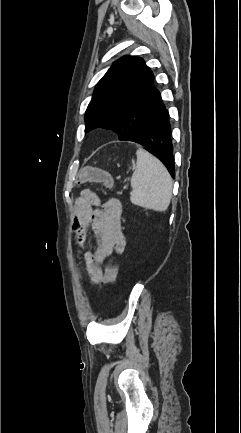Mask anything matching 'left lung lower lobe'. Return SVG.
<instances>
[{
    "label": "left lung lower lobe",
    "mask_w": 241,
    "mask_h": 433,
    "mask_svg": "<svg viewBox=\"0 0 241 433\" xmlns=\"http://www.w3.org/2000/svg\"><path fill=\"white\" fill-rule=\"evenodd\" d=\"M171 133L169 113L163 105L143 129L132 134L126 140L144 146L166 166L174 178L175 167Z\"/></svg>",
    "instance_id": "obj_1"
}]
</instances>
